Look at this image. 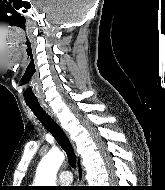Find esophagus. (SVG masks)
<instances>
[{
	"mask_svg": "<svg viewBox=\"0 0 165 190\" xmlns=\"http://www.w3.org/2000/svg\"><path fill=\"white\" fill-rule=\"evenodd\" d=\"M46 111L56 119L55 115L53 114V112L45 106ZM58 122V121H57ZM76 164H77V176H78V182L80 185L84 184V168H83V164H82V159L80 157V155L78 153H76Z\"/></svg>",
	"mask_w": 165,
	"mask_h": 190,
	"instance_id": "1",
	"label": "esophagus"
}]
</instances>
